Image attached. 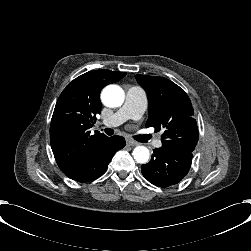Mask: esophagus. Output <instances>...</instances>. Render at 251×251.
<instances>
[{
    "mask_svg": "<svg viewBox=\"0 0 251 251\" xmlns=\"http://www.w3.org/2000/svg\"><path fill=\"white\" fill-rule=\"evenodd\" d=\"M127 144H128L129 146H137V145H139L138 142L133 141V140H127Z\"/></svg>",
    "mask_w": 251,
    "mask_h": 251,
    "instance_id": "34e87169",
    "label": "esophagus"
}]
</instances>
